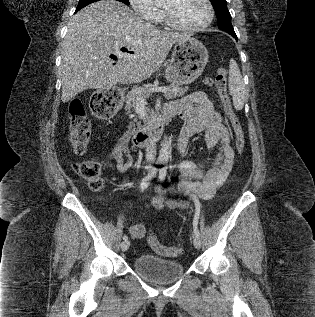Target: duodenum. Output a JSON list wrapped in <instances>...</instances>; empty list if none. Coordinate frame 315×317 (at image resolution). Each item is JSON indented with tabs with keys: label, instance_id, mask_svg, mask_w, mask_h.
Returning <instances> with one entry per match:
<instances>
[{
	"label": "duodenum",
	"instance_id": "410a0bca",
	"mask_svg": "<svg viewBox=\"0 0 315 317\" xmlns=\"http://www.w3.org/2000/svg\"><path fill=\"white\" fill-rule=\"evenodd\" d=\"M175 111L163 108L161 112L144 128L136 131L132 136L135 147L141 148L158 139L164 130L165 124L175 115Z\"/></svg>",
	"mask_w": 315,
	"mask_h": 317
}]
</instances>
